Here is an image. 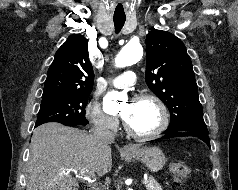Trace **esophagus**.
I'll return each mask as SVG.
<instances>
[{
  "mask_svg": "<svg viewBox=\"0 0 238 190\" xmlns=\"http://www.w3.org/2000/svg\"><path fill=\"white\" fill-rule=\"evenodd\" d=\"M135 149H136V147L131 143L125 144L124 147H123V150L126 151V152L133 151Z\"/></svg>",
  "mask_w": 238,
  "mask_h": 190,
  "instance_id": "esophagus-1",
  "label": "esophagus"
}]
</instances>
